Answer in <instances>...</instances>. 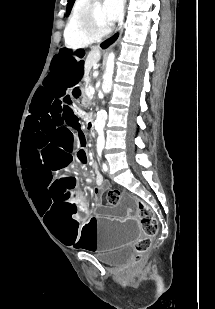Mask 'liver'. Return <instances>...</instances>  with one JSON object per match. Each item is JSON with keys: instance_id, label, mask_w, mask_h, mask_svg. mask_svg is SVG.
I'll return each mask as SVG.
<instances>
[{"instance_id": "1", "label": "liver", "mask_w": 215, "mask_h": 309, "mask_svg": "<svg viewBox=\"0 0 215 309\" xmlns=\"http://www.w3.org/2000/svg\"><path fill=\"white\" fill-rule=\"evenodd\" d=\"M92 50H90L86 60H85V72L88 74L90 72L93 64L98 62L101 58L100 50L98 46H91Z\"/></svg>"}]
</instances>
